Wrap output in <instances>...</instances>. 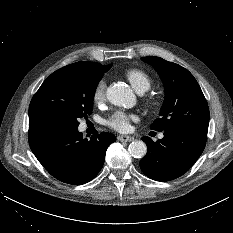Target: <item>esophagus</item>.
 <instances>
[{"label": "esophagus", "instance_id": "obj_1", "mask_svg": "<svg viewBox=\"0 0 233 233\" xmlns=\"http://www.w3.org/2000/svg\"><path fill=\"white\" fill-rule=\"evenodd\" d=\"M118 140L121 142H131L134 140V137L132 136H126V135H120L118 136Z\"/></svg>", "mask_w": 233, "mask_h": 233}]
</instances>
